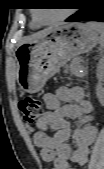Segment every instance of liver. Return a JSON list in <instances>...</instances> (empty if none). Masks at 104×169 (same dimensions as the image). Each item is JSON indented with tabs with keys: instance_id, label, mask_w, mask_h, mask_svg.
<instances>
[{
	"instance_id": "obj_1",
	"label": "liver",
	"mask_w": 104,
	"mask_h": 169,
	"mask_svg": "<svg viewBox=\"0 0 104 169\" xmlns=\"http://www.w3.org/2000/svg\"><path fill=\"white\" fill-rule=\"evenodd\" d=\"M50 29H51V28L46 29V30L42 31L40 34H42V33L46 32V31H48V30H50ZM40 34H38V35H40ZM38 35H37V36H38Z\"/></svg>"
}]
</instances>
